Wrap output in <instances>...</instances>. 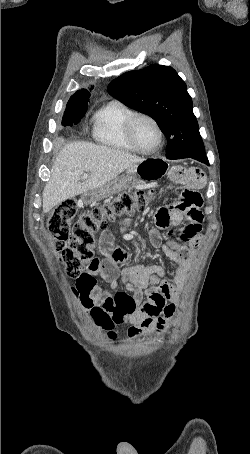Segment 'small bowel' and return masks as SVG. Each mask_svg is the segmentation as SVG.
<instances>
[{
  "mask_svg": "<svg viewBox=\"0 0 250 454\" xmlns=\"http://www.w3.org/2000/svg\"><path fill=\"white\" fill-rule=\"evenodd\" d=\"M204 182L200 171L180 172L174 177L173 184L183 186V193L177 201L156 211L155 223L159 229H167L184 220L179 231L183 244H163L159 232L150 233L151 246L160 248L176 265L170 279L160 265H134L123 270L121 283L119 265L127 259L128 254L116 248L110 235L104 233L99 245L104 258H94L75 284L76 293L86 310L101 306L118 323L129 322L131 327L128 334L131 338L146 332L165 331L167 321L175 313V303L185 284L191 256L201 242L203 199L199 190ZM122 226L126 228L128 221L125 220ZM98 279L107 286L101 287Z\"/></svg>",
  "mask_w": 250,
  "mask_h": 454,
  "instance_id": "small-bowel-1",
  "label": "small bowel"
}]
</instances>
